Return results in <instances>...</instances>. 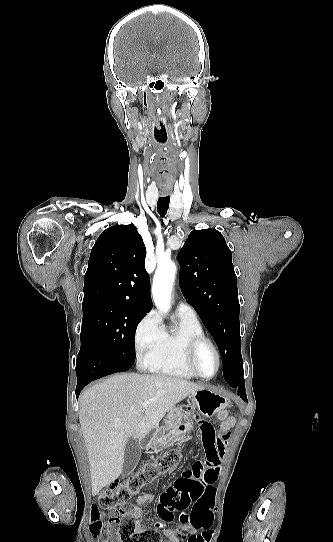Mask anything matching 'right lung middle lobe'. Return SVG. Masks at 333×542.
Instances as JSON below:
<instances>
[{
  "label": "right lung middle lobe",
  "instance_id": "dd1d6c3e",
  "mask_svg": "<svg viewBox=\"0 0 333 542\" xmlns=\"http://www.w3.org/2000/svg\"><path fill=\"white\" fill-rule=\"evenodd\" d=\"M81 353L93 343L114 358L134 364L135 332L145 311L111 304L82 306Z\"/></svg>",
  "mask_w": 333,
  "mask_h": 542
}]
</instances>
